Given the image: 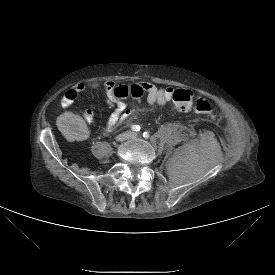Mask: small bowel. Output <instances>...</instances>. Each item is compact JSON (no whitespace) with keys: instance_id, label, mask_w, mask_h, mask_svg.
Masks as SVG:
<instances>
[{"instance_id":"1","label":"small bowel","mask_w":275,"mask_h":275,"mask_svg":"<svg viewBox=\"0 0 275 275\" xmlns=\"http://www.w3.org/2000/svg\"><path fill=\"white\" fill-rule=\"evenodd\" d=\"M130 88L127 85H121L114 81H92L89 83H79L69 88L63 98L62 105L68 107L82 93L89 91L103 90L105 94V103L113 110L107 121V130H113L115 127L130 118L132 110L127 108L121 97L115 95L118 87ZM146 94V102L149 106H163L172 100L174 89L172 87H158L149 82H140L137 84ZM94 120V111L87 108L83 112V117L78 112H65L58 116V129L66 142L72 143L77 139H85L88 136L87 123Z\"/></svg>"}]
</instances>
